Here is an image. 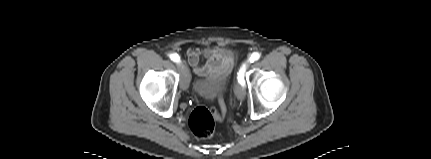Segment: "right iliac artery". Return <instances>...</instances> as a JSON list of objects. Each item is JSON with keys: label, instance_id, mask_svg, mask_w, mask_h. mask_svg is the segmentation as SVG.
Returning a JSON list of instances; mask_svg holds the SVG:
<instances>
[{"label": "right iliac artery", "instance_id": "1", "mask_svg": "<svg viewBox=\"0 0 431 159\" xmlns=\"http://www.w3.org/2000/svg\"><path fill=\"white\" fill-rule=\"evenodd\" d=\"M170 59L177 63L180 62V57L176 53L170 54Z\"/></svg>", "mask_w": 431, "mask_h": 159}]
</instances>
